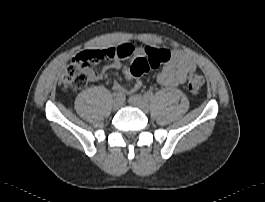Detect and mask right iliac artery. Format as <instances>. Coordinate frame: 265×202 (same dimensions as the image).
Wrapping results in <instances>:
<instances>
[{"mask_svg":"<svg viewBox=\"0 0 265 202\" xmlns=\"http://www.w3.org/2000/svg\"><path fill=\"white\" fill-rule=\"evenodd\" d=\"M113 96H114L115 98H120V99H122V97H123V93H122L121 91H119V92H114Z\"/></svg>","mask_w":265,"mask_h":202,"instance_id":"1","label":"right iliac artery"}]
</instances>
